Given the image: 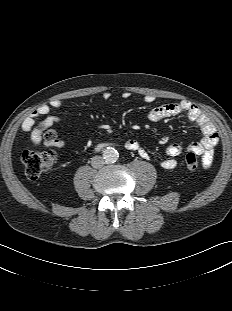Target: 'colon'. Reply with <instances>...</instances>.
Segmentation results:
<instances>
[{
	"mask_svg": "<svg viewBox=\"0 0 232 311\" xmlns=\"http://www.w3.org/2000/svg\"><path fill=\"white\" fill-rule=\"evenodd\" d=\"M47 140L54 139V133L49 131L45 134ZM57 160V154L53 150L34 151L26 150L22 155V162L25 168V175L30 180H37L43 173L50 170ZM185 164L195 170L199 166V160L196 153L189 151L185 156Z\"/></svg>",
	"mask_w": 232,
	"mask_h": 311,
	"instance_id": "1",
	"label": "colon"
}]
</instances>
